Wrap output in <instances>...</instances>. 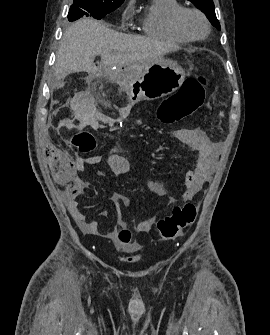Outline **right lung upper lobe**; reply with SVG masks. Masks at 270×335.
<instances>
[{
	"label": "right lung upper lobe",
	"mask_w": 270,
	"mask_h": 335,
	"mask_svg": "<svg viewBox=\"0 0 270 335\" xmlns=\"http://www.w3.org/2000/svg\"><path fill=\"white\" fill-rule=\"evenodd\" d=\"M107 2H114V3H123L124 0H104Z\"/></svg>",
	"instance_id": "cb5924a9"
}]
</instances>
